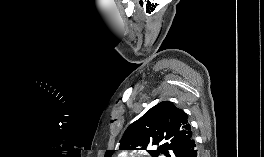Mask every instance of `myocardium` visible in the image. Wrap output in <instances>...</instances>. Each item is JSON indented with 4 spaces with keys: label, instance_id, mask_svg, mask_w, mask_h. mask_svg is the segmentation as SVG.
Returning <instances> with one entry per match:
<instances>
[{
    "label": "myocardium",
    "instance_id": "f54148a6",
    "mask_svg": "<svg viewBox=\"0 0 264 157\" xmlns=\"http://www.w3.org/2000/svg\"><path fill=\"white\" fill-rule=\"evenodd\" d=\"M131 157H143V156L136 155V156H131Z\"/></svg>",
    "mask_w": 264,
    "mask_h": 157
}]
</instances>
